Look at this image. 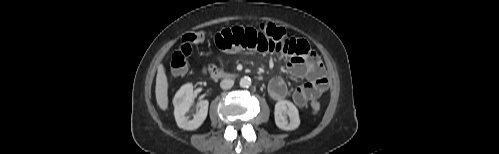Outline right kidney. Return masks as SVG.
<instances>
[{"mask_svg": "<svg viewBox=\"0 0 499 154\" xmlns=\"http://www.w3.org/2000/svg\"><path fill=\"white\" fill-rule=\"evenodd\" d=\"M193 102V85L191 83L183 85L175 94L174 116L178 127L185 130H195L199 128L207 117L208 100L199 102L200 109L194 114L192 120H188L186 113L189 111Z\"/></svg>", "mask_w": 499, "mask_h": 154, "instance_id": "1", "label": "right kidney"}]
</instances>
